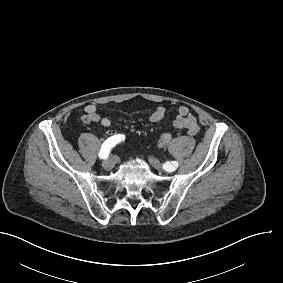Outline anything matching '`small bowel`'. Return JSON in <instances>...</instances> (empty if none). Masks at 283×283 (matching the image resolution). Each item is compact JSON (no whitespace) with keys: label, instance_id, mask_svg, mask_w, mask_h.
<instances>
[{"label":"small bowel","instance_id":"c3829d8e","mask_svg":"<svg viewBox=\"0 0 283 283\" xmlns=\"http://www.w3.org/2000/svg\"><path fill=\"white\" fill-rule=\"evenodd\" d=\"M166 108L164 106H158L149 116L150 123L156 124L161 122L166 116ZM83 123H98L103 127H110L111 120L109 117L102 116L98 113L97 106L95 104H88L84 109V114L81 116ZM173 126L178 129H186L191 136H194L199 131V126L196 117L190 112L187 106H180L172 122ZM115 132L110 130L109 134L112 135Z\"/></svg>","mask_w":283,"mask_h":283}]
</instances>
